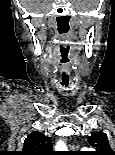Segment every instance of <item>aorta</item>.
<instances>
[{
	"label": "aorta",
	"instance_id": "obj_1",
	"mask_svg": "<svg viewBox=\"0 0 115 155\" xmlns=\"http://www.w3.org/2000/svg\"><path fill=\"white\" fill-rule=\"evenodd\" d=\"M56 149H57V150H65V149H66V145H65L63 142L59 141V142L56 144Z\"/></svg>",
	"mask_w": 115,
	"mask_h": 155
}]
</instances>
